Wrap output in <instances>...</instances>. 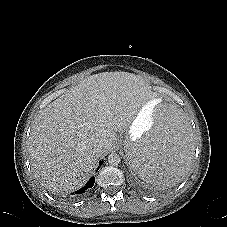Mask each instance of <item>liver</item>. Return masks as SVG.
<instances>
[{"mask_svg":"<svg viewBox=\"0 0 227 227\" xmlns=\"http://www.w3.org/2000/svg\"><path fill=\"white\" fill-rule=\"evenodd\" d=\"M151 99L142 78L127 72L91 75L37 116L29 137L35 177L51 192L82 187L116 132L125 131ZM155 102V100H153ZM105 145L95 150V144Z\"/></svg>","mask_w":227,"mask_h":227,"instance_id":"6515ba94","label":"liver"}]
</instances>
